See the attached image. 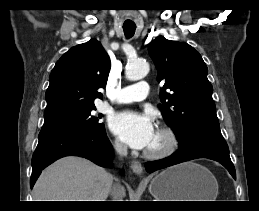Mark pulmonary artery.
Listing matches in <instances>:
<instances>
[{
  "label": "pulmonary artery",
  "mask_w": 259,
  "mask_h": 211,
  "mask_svg": "<svg viewBox=\"0 0 259 211\" xmlns=\"http://www.w3.org/2000/svg\"><path fill=\"white\" fill-rule=\"evenodd\" d=\"M149 86L147 82L141 81L136 84L122 88L115 96L114 102L118 104H127L143 101L147 98Z\"/></svg>",
  "instance_id": "pulmonary-artery-1"
}]
</instances>
